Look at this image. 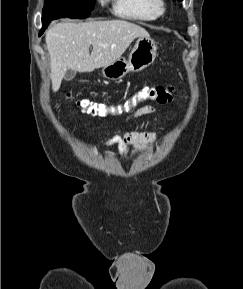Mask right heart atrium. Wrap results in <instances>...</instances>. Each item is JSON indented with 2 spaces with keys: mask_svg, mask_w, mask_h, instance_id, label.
Wrapping results in <instances>:
<instances>
[{
  "mask_svg": "<svg viewBox=\"0 0 243 289\" xmlns=\"http://www.w3.org/2000/svg\"><path fill=\"white\" fill-rule=\"evenodd\" d=\"M99 1H101V2H105V1H107V0H99Z\"/></svg>",
  "mask_w": 243,
  "mask_h": 289,
  "instance_id": "d8ad5b80",
  "label": "right heart atrium"
}]
</instances>
